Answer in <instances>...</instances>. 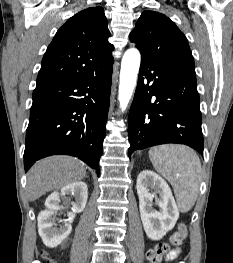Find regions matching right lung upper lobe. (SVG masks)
I'll return each instance as SVG.
<instances>
[{
  "mask_svg": "<svg viewBox=\"0 0 233 263\" xmlns=\"http://www.w3.org/2000/svg\"><path fill=\"white\" fill-rule=\"evenodd\" d=\"M102 7L87 8L57 31L48 46L37 77L38 87L88 77L113 60V45Z\"/></svg>",
  "mask_w": 233,
  "mask_h": 263,
  "instance_id": "cb5924a9",
  "label": "right lung upper lobe"
}]
</instances>
